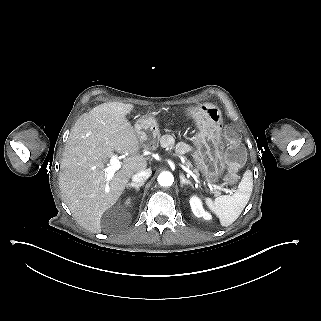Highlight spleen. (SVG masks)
Segmentation results:
<instances>
[{"mask_svg": "<svg viewBox=\"0 0 321 321\" xmlns=\"http://www.w3.org/2000/svg\"><path fill=\"white\" fill-rule=\"evenodd\" d=\"M253 189V176L250 170L245 171L238 185L237 191L232 195H221L213 201L206 198L208 208L216 214L222 226L227 227L236 221L246 207Z\"/></svg>", "mask_w": 321, "mask_h": 321, "instance_id": "1", "label": "spleen"}]
</instances>
